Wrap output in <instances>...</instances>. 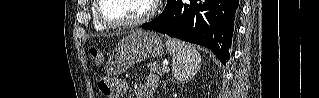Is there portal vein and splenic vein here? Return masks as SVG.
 I'll use <instances>...</instances> for the list:
<instances>
[{"mask_svg": "<svg viewBox=\"0 0 319 98\" xmlns=\"http://www.w3.org/2000/svg\"><path fill=\"white\" fill-rule=\"evenodd\" d=\"M163 70H164V72H168L169 71L168 62H163Z\"/></svg>", "mask_w": 319, "mask_h": 98, "instance_id": "obj_1", "label": "portal vein and splenic vein"}]
</instances>
